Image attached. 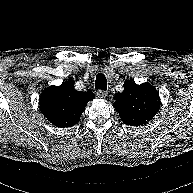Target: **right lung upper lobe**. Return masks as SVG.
<instances>
[{"label":"right lung upper lobe","mask_w":193,"mask_h":193,"mask_svg":"<svg viewBox=\"0 0 193 193\" xmlns=\"http://www.w3.org/2000/svg\"><path fill=\"white\" fill-rule=\"evenodd\" d=\"M95 98L94 93L74 89V81L68 80L60 86L46 88L40 96V110L52 124L69 127L79 122L81 113L88 101Z\"/></svg>","instance_id":"1"}]
</instances>
